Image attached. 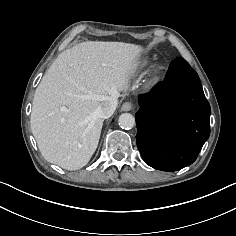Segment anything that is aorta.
Masks as SVG:
<instances>
[{"label":"aorta","instance_id":"1","mask_svg":"<svg viewBox=\"0 0 236 236\" xmlns=\"http://www.w3.org/2000/svg\"><path fill=\"white\" fill-rule=\"evenodd\" d=\"M118 123L123 129H131L135 126V118L130 113H123L119 116Z\"/></svg>","mask_w":236,"mask_h":236}]
</instances>
